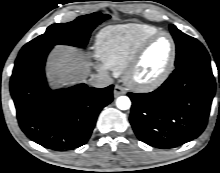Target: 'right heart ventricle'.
Masks as SVG:
<instances>
[{
  "label": "right heart ventricle",
  "mask_w": 220,
  "mask_h": 173,
  "mask_svg": "<svg viewBox=\"0 0 220 173\" xmlns=\"http://www.w3.org/2000/svg\"><path fill=\"white\" fill-rule=\"evenodd\" d=\"M158 32L154 26L139 23L107 27L98 35L97 53L106 68L121 74L138 46Z\"/></svg>",
  "instance_id": "1"
}]
</instances>
